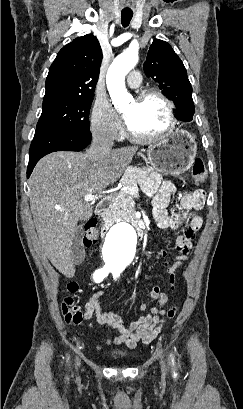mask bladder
<instances>
[{
    "mask_svg": "<svg viewBox=\"0 0 243 409\" xmlns=\"http://www.w3.org/2000/svg\"><path fill=\"white\" fill-rule=\"evenodd\" d=\"M111 355L114 358H122L125 357L127 355V352L123 349H115L112 351Z\"/></svg>",
    "mask_w": 243,
    "mask_h": 409,
    "instance_id": "obj_1",
    "label": "bladder"
}]
</instances>
